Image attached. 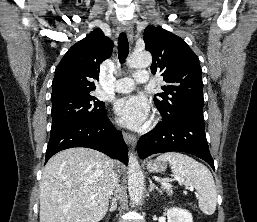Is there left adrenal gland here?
I'll return each mask as SVG.
<instances>
[{"instance_id":"obj_1","label":"left adrenal gland","mask_w":257,"mask_h":222,"mask_svg":"<svg viewBox=\"0 0 257 222\" xmlns=\"http://www.w3.org/2000/svg\"><path fill=\"white\" fill-rule=\"evenodd\" d=\"M149 192H152L154 189L161 193V190L152 182L149 178Z\"/></svg>"}]
</instances>
